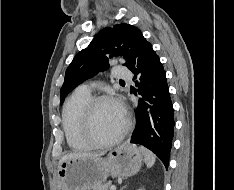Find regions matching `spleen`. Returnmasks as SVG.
I'll list each match as a JSON object with an SVG mask.
<instances>
[{"label":"spleen","instance_id":"3e777b00","mask_svg":"<svg viewBox=\"0 0 234 190\" xmlns=\"http://www.w3.org/2000/svg\"><path fill=\"white\" fill-rule=\"evenodd\" d=\"M140 150L142 154L144 155L145 163L147 167L151 168L155 164V161H156L155 155L151 151L146 149L145 147H140Z\"/></svg>","mask_w":234,"mask_h":190}]
</instances>
